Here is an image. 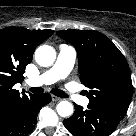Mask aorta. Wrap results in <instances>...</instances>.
Instances as JSON below:
<instances>
[{"label":"aorta","instance_id":"1","mask_svg":"<svg viewBox=\"0 0 136 136\" xmlns=\"http://www.w3.org/2000/svg\"><path fill=\"white\" fill-rule=\"evenodd\" d=\"M56 59V52L53 47L48 45L39 46L35 51L36 62L43 67L51 66ZM57 113L61 117H67L73 113V105L68 101H61L58 103Z\"/></svg>","mask_w":136,"mask_h":136}]
</instances>
